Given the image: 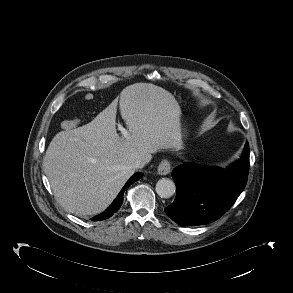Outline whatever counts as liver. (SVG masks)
<instances>
[{
    "mask_svg": "<svg viewBox=\"0 0 293 293\" xmlns=\"http://www.w3.org/2000/svg\"><path fill=\"white\" fill-rule=\"evenodd\" d=\"M118 99L81 127L61 131L43 161L54 196L78 216L103 212L134 174L137 159L182 144L180 108L165 89L135 83L120 94L129 139L117 133Z\"/></svg>",
    "mask_w": 293,
    "mask_h": 293,
    "instance_id": "6515ba94",
    "label": "liver"
}]
</instances>
